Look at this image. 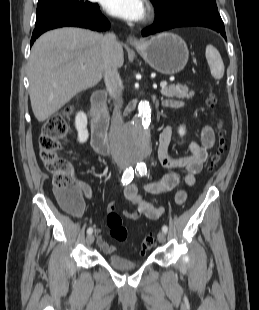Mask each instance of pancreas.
<instances>
[{
  "instance_id": "1",
  "label": "pancreas",
  "mask_w": 259,
  "mask_h": 310,
  "mask_svg": "<svg viewBox=\"0 0 259 310\" xmlns=\"http://www.w3.org/2000/svg\"><path fill=\"white\" fill-rule=\"evenodd\" d=\"M161 94L166 97H176L179 99H190L194 96L193 91H189L186 85H170L169 87H163Z\"/></svg>"
}]
</instances>
